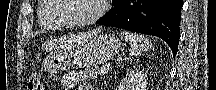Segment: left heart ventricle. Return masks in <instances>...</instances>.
Masks as SVG:
<instances>
[{"mask_svg":"<svg viewBox=\"0 0 216 90\" xmlns=\"http://www.w3.org/2000/svg\"><path fill=\"white\" fill-rule=\"evenodd\" d=\"M68 1L66 10L60 13L59 19L65 23L72 20L82 21L94 15L99 9V0H60Z\"/></svg>","mask_w":216,"mask_h":90,"instance_id":"1","label":"left heart ventricle"}]
</instances>
